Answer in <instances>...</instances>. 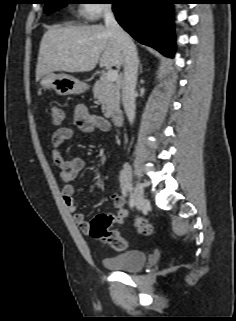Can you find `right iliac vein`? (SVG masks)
Returning a JSON list of instances; mask_svg holds the SVG:
<instances>
[{
	"label": "right iliac vein",
	"instance_id": "63e3f726",
	"mask_svg": "<svg viewBox=\"0 0 236 321\" xmlns=\"http://www.w3.org/2000/svg\"><path fill=\"white\" fill-rule=\"evenodd\" d=\"M133 198L139 210H143L148 205V201L144 196L143 185L140 181H136Z\"/></svg>",
	"mask_w": 236,
	"mask_h": 321
}]
</instances>
